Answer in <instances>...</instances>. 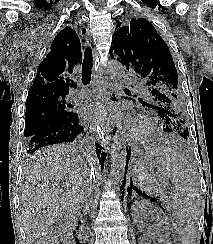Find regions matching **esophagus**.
<instances>
[{"instance_id":"34e87169","label":"esophagus","mask_w":213,"mask_h":244,"mask_svg":"<svg viewBox=\"0 0 213 244\" xmlns=\"http://www.w3.org/2000/svg\"><path fill=\"white\" fill-rule=\"evenodd\" d=\"M94 58H95V69H96V83L98 87V93L101 97H106L109 101L111 100V92L107 89L106 85L103 83L104 79V70L101 64L96 63L97 60V51L94 49ZM117 112L113 111L109 114L107 118L104 119L102 123L98 125L97 129H100L103 136L105 137V141L109 143L113 138V131L117 128Z\"/></svg>"}]
</instances>
